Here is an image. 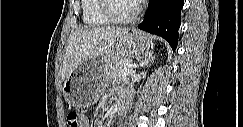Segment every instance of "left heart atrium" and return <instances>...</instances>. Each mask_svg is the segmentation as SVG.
Instances as JSON below:
<instances>
[{
	"instance_id": "left-heart-atrium-1",
	"label": "left heart atrium",
	"mask_w": 243,
	"mask_h": 127,
	"mask_svg": "<svg viewBox=\"0 0 243 127\" xmlns=\"http://www.w3.org/2000/svg\"><path fill=\"white\" fill-rule=\"evenodd\" d=\"M132 2H134V3H139V2H141V0H134V1H132Z\"/></svg>"
}]
</instances>
